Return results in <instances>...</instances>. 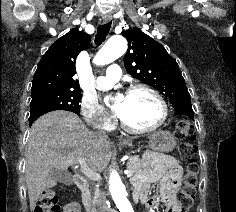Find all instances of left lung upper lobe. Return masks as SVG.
Segmentation results:
<instances>
[{"label":"left lung upper lobe","instance_id":"5c2ea615","mask_svg":"<svg viewBox=\"0 0 236 212\" xmlns=\"http://www.w3.org/2000/svg\"><path fill=\"white\" fill-rule=\"evenodd\" d=\"M122 35L129 45L124 65L130 75L158 90L173 106L181 101H190L176 60L159 42L138 29H129Z\"/></svg>","mask_w":236,"mask_h":212}]
</instances>
